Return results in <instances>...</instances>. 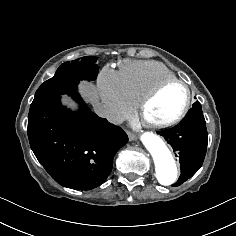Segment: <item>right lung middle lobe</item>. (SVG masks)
I'll return each instance as SVG.
<instances>
[{"instance_id":"right-lung-middle-lobe-1","label":"right lung middle lobe","mask_w":236,"mask_h":236,"mask_svg":"<svg viewBox=\"0 0 236 236\" xmlns=\"http://www.w3.org/2000/svg\"><path fill=\"white\" fill-rule=\"evenodd\" d=\"M97 59L95 56H85L63 63L54 77L38 88L31 106L54 96L76 92L80 80H95L99 69Z\"/></svg>"}]
</instances>
